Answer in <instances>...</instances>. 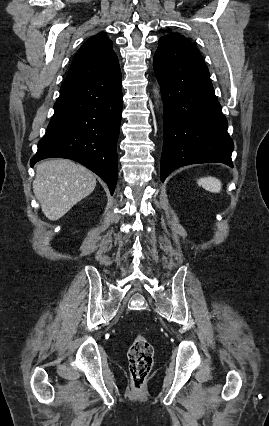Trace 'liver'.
Wrapping results in <instances>:
<instances>
[{
    "label": "liver",
    "mask_w": 269,
    "mask_h": 426,
    "mask_svg": "<svg viewBox=\"0 0 269 426\" xmlns=\"http://www.w3.org/2000/svg\"><path fill=\"white\" fill-rule=\"evenodd\" d=\"M96 187L93 173L68 159L42 161L36 166L33 191L45 216L55 221Z\"/></svg>",
    "instance_id": "6515ba94"
}]
</instances>
